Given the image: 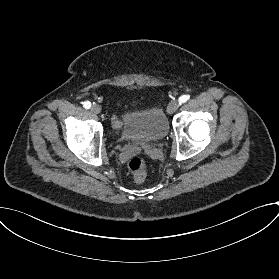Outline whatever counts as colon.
Segmentation results:
<instances>
[{"label": "colon", "instance_id": "1", "mask_svg": "<svg viewBox=\"0 0 279 279\" xmlns=\"http://www.w3.org/2000/svg\"><path fill=\"white\" fill-rule=\"evenodd\" d=\"M112 123L114 127L120 126V120L118 117H113ZM128 172L134 177L138 183L143 182L146 179L147 162L142 156L133 157L127 164Z\"/></svg>", "mask_w": 279, "mask_h": 279}]
</instances>
